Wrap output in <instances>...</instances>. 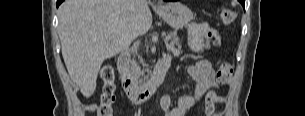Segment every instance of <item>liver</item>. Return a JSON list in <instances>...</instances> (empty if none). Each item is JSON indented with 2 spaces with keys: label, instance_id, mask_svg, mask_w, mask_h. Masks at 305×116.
Segmentation results:
<instances>
[{
  "label": "liver",
  "instance_id": "6515ba94",
  "mask_svg": "<svg viewBox=\"0 0 305 116\" xmlns=\"http://www.w3.org/2000/svg\"><path fill=\"white\" fill-rule=\"evenodd\" d=\"M62 56L84 97L96 89L102 63L128 48L152 25L148 1L65 0L58 10Z\"/></svg>",
  "mask_w": 305,
  "mask_h": 116
}]
</instances>
